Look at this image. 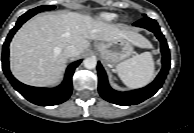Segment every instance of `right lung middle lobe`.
I'll return each mask as SVG.
<instances>
[{"label": "right lung middle lobe", "instance_id": "dd1d6c3e", "mask_svg": "<svg viewBox=\"0 0 194 133\" xmlns=\"http://www.w3.org/2000/svg\"><path fill=\"white\" fill-rule=\"evenodd\" d=\"M54 8H55V6H48V5H46V6H39V7H36L34 9L29 10L26 13L35 15V14L41 12V11H44V10H53Z\"/></svg>", "mask_w": 194, "mask_h": 133}]
</instances>
